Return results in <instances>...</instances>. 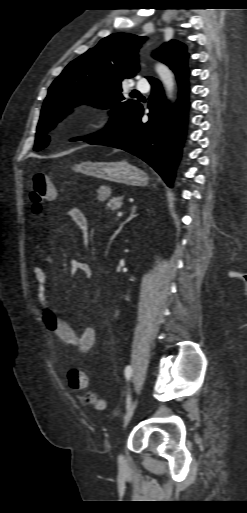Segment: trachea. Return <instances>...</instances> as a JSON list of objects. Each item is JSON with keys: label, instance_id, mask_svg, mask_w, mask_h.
I'll return each instance as SVG.
<instances>
[{"label": "trachea", "instance_id": "obj_1", "mask_svg": "<svg viewBox=\"0 0 247 513\" xmlns=\"http://www.w3.org/2000/svg\"><path fill=\"white\" fill-rule=\"evenodd\" d=\"M134 93H135V94H138V91H135Z\"/></svg>", "mask_w": 247, "mask_h": 513}]
</instances>
